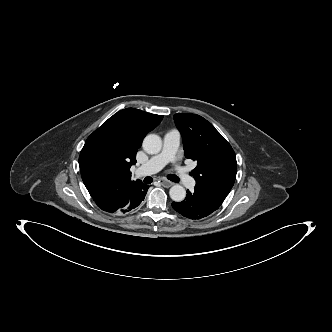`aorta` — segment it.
Returning a JSON list of instances; mask_svg holds the SVG:
<instances>
[{
	"label": "aorta",
	"instance_id": "1",
	"mask_svg": "<svg viewBox=\"0 0 332 332\" xmlns=\"http://www.w3.org/2000/svg\"><path fill=\"white\" fill-rule=\"evenodd\" d=\"M162 148V140L156 134H149L143 140V149L148 154H157ZM170 197L175 202H181L186 197L185 189L178 184L173 185L169 191Z\"/></svg>",
	"mask_w": 332,
	"mask_h": 332
}]
</instances>
